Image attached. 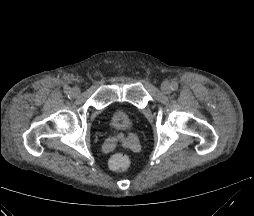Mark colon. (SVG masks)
<instances>
[{"instance_id":"colon-1","label":"colon","mask_w":254,"mask_h":216,"mask_svg":"<svg viewBox=\"0 0 254 216\" xmlns=\"http://www.w3.org/2000/svg\"><path fill=\"white\" fill-rule=\"evenodd\" d=\"M108 166L113 171L121 172L128 168L129 159L126 155L117 153L108 160Z\"/></svg>"}]
</instances>
